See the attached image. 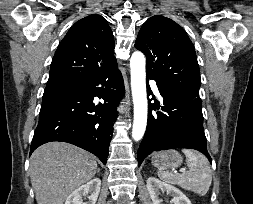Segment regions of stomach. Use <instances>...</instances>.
Listing matches in <instances>:
<instances>
[{"mask_svg": "<svg viewBox=\"0 0 253 204\" xmlns=\"http://www.w3.org/2000/svg\"><path fill=\"white\" fill-rule=\"evenodd\" d=\"M183 159L175 150L156 153L152 157V163L158 170H169L179 167Z\"/></svg>", "mask_w": 253, "mask_h": 204, "instance_id": "0dacf381", "label": "stomach"}]
</instances>
